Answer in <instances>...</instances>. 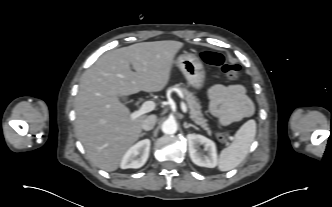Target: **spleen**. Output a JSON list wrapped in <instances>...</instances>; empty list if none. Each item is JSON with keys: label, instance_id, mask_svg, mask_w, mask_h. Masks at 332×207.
<instances>
[{"label": "spleen", "instance_id": "1", "mask_svg": "<svg viewBox=\"0 0 332 207\" xmlns=\"http://www.w3.org/2000/svg\"><path fill=\"white\" fill-rule=\"evenodd\" d=\"M256 135V122L249 120L235 134V140L224 148L219 156L218 168L229 171L237 167L247 156Z\"/></svg>", "mask_w": 332, "mask_h": 207}]
</instances>
